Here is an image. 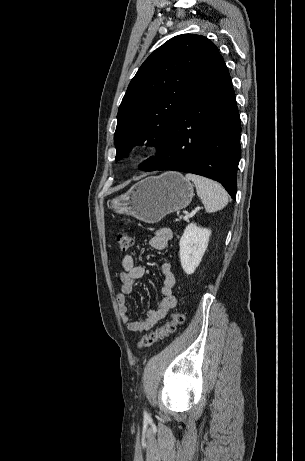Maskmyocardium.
<instances>
[{
  "label": "myocardium",
  "instance_id": "obj_1",
  "mask_svg": "<svg viewBox=\"0 0 305 461\" xmlns=\"http://www.w3.org/2000/svg\"><path fill=\"white\" fill-rule=\"evenodd\" d=\"M150 150L151 148L147 144H137L131 148L130 154L135 158H142L149 154Z\"/></svg>",
  "mask_w": 305,
  "mask_h": 461
}]
</instances>
